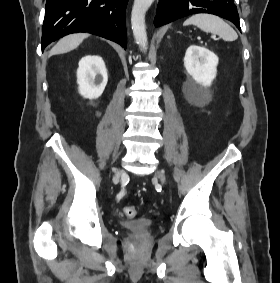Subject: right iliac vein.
I'll return each mask as SVG.
<instances>
[{"label":"right iliac vein","instance_id":"right-iliac-vein-1","mask_svg":"<svg viewBox=\"0 0 280 283\" xmlns=\"http://www.w3.org/2000/svg\"><path fill=\"white\" fill-rule=\"evenodd\" d=\"M122 173H123V170L117 169V170L115 171L114 179H118Z\"/></svg>","mask_w":280,"mask_h":283}]
</instances>
